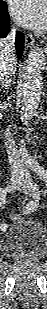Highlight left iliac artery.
Returning <instances> with one entry per match:
<instances>
[{
    "label": "left iliac artery",
    "mask_w": 47,
    "mask_h": 309,
    "mask_svg": "<svg viewBox=\"0 0 47 309\" xmlns=\"http://www.w3.org/2000/svg\"><path fill=\"white\" fill-rule=\"evenodd\" d=\"M30 167H31V169H33L39 176H41L44 180H47V172H46V170H45L42 166H40V164H39L37 161L32 162V164H31ZM37 191H38V193H39L38 187H37ZM27 206H28V207H27L28 211H34V210H36V208L38 207L37 204H33V203H31L30 205H27Z\"/></svg>",
    "instance_id": "44dca946"
}]
</instances>
